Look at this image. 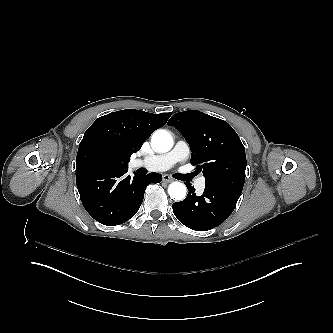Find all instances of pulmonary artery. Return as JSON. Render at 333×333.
I'll return each mask as SVG.
<instances>
[{"label": "pulmonary artery", "instance_id": "pulmonary-artery-1", "mask_svg": "<svg viewBox=\"0 0 333 333\" xmlns=\"http://www.w3.org/2000/svg\"><path fill=\"white\" fill-rule=\"evenodd\" d=\"M184 145V146H182ZM182 146V147H181ZM190 155L189 148L187 147L185 141L178 140L174 146L173 149L167 150L164 155L161 158H148L145 160L144 168L147 171H153V170H160V171H167L168 165L171 163V166L185 162ZM203 180L204 176L202 175L200 177V180L194 181V188L195 189H202L203 188Z\"/></svg>", "mask_w": 333, "mask_h": 333}]
</instances>
